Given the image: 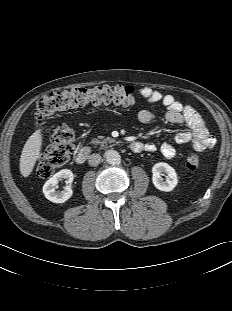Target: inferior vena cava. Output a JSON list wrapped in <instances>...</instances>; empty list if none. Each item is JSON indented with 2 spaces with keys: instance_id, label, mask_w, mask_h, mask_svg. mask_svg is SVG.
Instances as JSON below:
<instances>
[{
  "instance_id": "inferior-vena-cava-1",
  "label": "inferior vena cava",
  "mask_w": 232,
  "mask_h": 311,
  "mask_svg": "<svg viewBox=\"0 0 232 311\" xmlns=\"http://www.w3.org/2000/svg\"><path fill=\"white\" fill-rule=\"evenodd\" d=\"M101 162V156L99 154H92L88 158L90 166H97Z\"/></svg>"
}]
</instances>
